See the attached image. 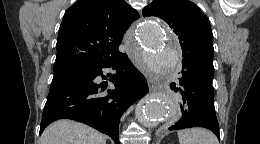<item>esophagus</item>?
<instances>
[{"mask_svg":"<svg viewBox=\"0 0 260 144\" xmlns=\"http://www.w3.org/2000/svg\"><path fill=\"white\" fill-rule=\"evenodd\" d=\"M148 84H149V89L150 91H155L157 89V81H155L153 78L149 77L148 78Z\"/></svg>","mask_w":260,"mask_h":144,"instance_id":"obj_1","label":"esophagus"}]
</instances>
